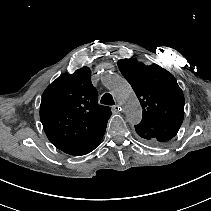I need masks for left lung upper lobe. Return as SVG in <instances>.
Listing matches in <instances>:
<instances>
[{
    "instance_id": "left-lung-upper-lobe-1",
    "label": "left lung upper lobe",
    "mask_w": 211,
    "mask_h": 211,
    "mask_svg": "<svg viewBox=\"0 0 211 211\" xmlns=\"http://www.w3.org/2000/svg\"><path fill=\"white\" fill-rule=\"evenodd\" d=\"M118 67L143 109L137 134L148 146H162L177 134L184 117V95L175 77L157 64L146 66L134 58L120 60Z\"/></svg>"
}]
</instances>
